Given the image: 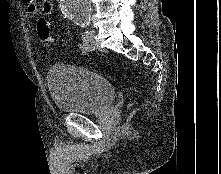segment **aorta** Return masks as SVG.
<instances>
[{"instance_id":"1","label":"aorta","mask_w":221,"mask_h":174,"mask_svg":"<svg viewBox=\"0 0 221 174\" xmlns=\"http://www.w3.org/2000/svg\"><path fill=\"white\" fill-rule=\"evenodd\" d=\"M63 14L78 22L88 21L91 0H59Z\"/></svg>"}]
</instances>
